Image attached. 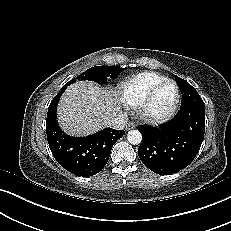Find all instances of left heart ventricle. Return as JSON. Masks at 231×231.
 <instances>
[{"label": "left heart ventricle", "mask_w": 231, "mask_h": 231, "mask_svg": "<svg viewBox=\"0 0 231 231\" xmlns=\"http://www.w3.org/2000/svg\"><path fill=\"white\" fill-rule=\"evenodd\" d=\"M174 86L172 84H164L154 95L150 102V110L153 113H161L165 111L174 99Z\"/></svg>", "instance_id": "1"}]
</instances>
